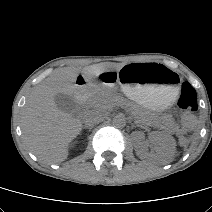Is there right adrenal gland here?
Returning a JSON list of instances; mask_svg holds the SVG:
<instances>
[{"instance_id":"2a0ac1e0","label":"right adrenal gland","mask_w":212,"mask_h":212,"mask_svg":"<svg viewBox=\"0 0 212 212\" xmlns=\"http://www.w3.org/2000/svg\"><path fill=\"white\" fill-rule=\"evenodd\" d=\"M83 128H88L87 126H84Z\"/></svg>"}]
</instances>
